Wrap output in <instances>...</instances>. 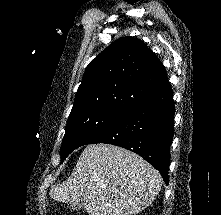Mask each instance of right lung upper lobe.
<instances>
[{"label": "right lung upper lobe", "mask_w": 221, "mask_h": 215, "mask_svg": "<svg viewBox=\"0 0 221 215\" xmlns=\"http://www.w3.org/2000/svg\"><path fill=\"white\" fill-rule=\"evenodd\" d=\"M167 83L164 66L146 44L123 37L87 66L71 113L102 110L122 115Z\"/></svg>", "instance_id": "cb5924a9"}]
</instances>
